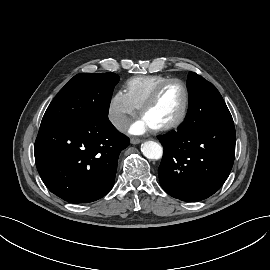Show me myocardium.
<instances>
[{
	"label": "myocardium",
	"mask_w": 270,
	"mask_h": 270,
	"mask_svg": "<svg viewBox=\"0 0 270 270\" xmlns=\"http://www.w3.org/2000/svg\"><path fill=\"white\" fill-rule=\"evenodd\" d=\"M172 83H179L183 87V90H184L183 106H182L180 113L174 119H172L170 122L165 123V124L160 125V126H157V127H154L153 130L156 132H166V131H169V130H172V129L179 127L185 121V119L188 115V112H189L190 92H189V88H188L187 84L182 79L170 78V79L158 84L154 88V90L150 93V95L147 97V99L143 102V104L139 108L140 116H143L144 113L155 103V101L159 97L162 90L166 86H168Z\"/></svg>",
	"instance_id": "f54148a6"
}]
</instances>
